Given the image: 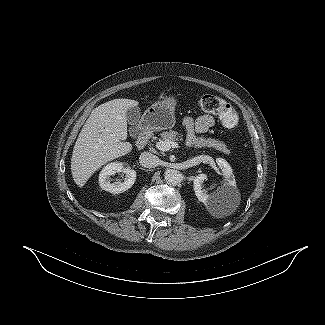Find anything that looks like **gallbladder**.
Listing matches in <instances>:
<instances>
[{"label":"gallbladder","instance_id":"1","mask_svg":"<svg viewBox=\"0 0 325 325\" xmlns=\"http://www.w3.org/2000/svg\"><path fill=\"white\" fill-rule=\"evenodd\" d=\"M127 121L132 125L131 134L136 136L139 132L137 123L140 120V109L138 107H131L126 113Z\"/></svg>","mask_w":325,"mask_h":325}]
</instances>
